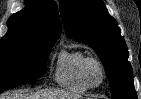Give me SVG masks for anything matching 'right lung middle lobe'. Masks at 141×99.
Returning <instances> with one entry per match:
<instances>
[{"instance_id": "dd1d6c3e", "label": "right lung middle lobe", "mask_w": 141, "mask_h": 99, "mask_svg": "<svg viewBox=\"0 0 141 99\" xmlns=\"http://www.w3.org/2000/svg\"><path fill=\"white\" fill-rule=\"evenodd\" d=\"M53 44L27 39H1L0 93L42 77Z\"/></svg>"}]
</instances>
